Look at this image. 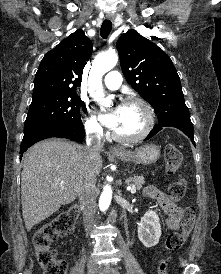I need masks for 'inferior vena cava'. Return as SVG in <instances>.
<instances>
[{
    "instance_id": "inferior-vena-cava-1",
    "label": "inferior vena cava",
    "mask_w": 221,
    "mask_h": 274,
    "mask_svg": "<svg viewBox=\"0 0 221 274\" xmlns=\"http://www.w3.org/2000/svg\"><path fill=\"white\" fill-rule=\"evenodd\" d=\"M92 133H96V135H92ZM103 145L104 141L101 138V130L96 126L88 129L86 147L88 164H91L99 157ZM78 196L83 209L84 226L86 231H88L93 227L96 211V176L92 169H88Z\"/></svg>"
}]
</instances>
